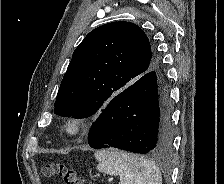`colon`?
Listing matches in <instances>:
<instances>
[{
	"label": "colon",
	"mask_w": 224,
	"mask_h": 184,
	"mask_svg": "<svg viewBox=\"0 0 224 184\" xmlns=\"http://www.w3.org/2000/svg\"><path fill=\"white\" fill-rule=\"evenodd\" d=\"M42 173L47 178H61L65 184H93L82 176L74 167L64 163H50L43 167Z\"/></svg>",
	"instance_id": "5ec220e1"
}]
</instances>
